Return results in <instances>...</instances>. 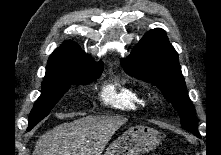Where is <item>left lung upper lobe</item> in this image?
Instances as JSON below:
<instances>
[{
	"label": "left lung upper lobe",
	"mask_w": 221,
	"mask_h": 155,
	"mask_svg": "<svg viewBox=\"0 0 221 155\" xmlns=\"http://www.w3.org/2000/svg\"><path fill=\"white\" fill-rule=\"evenodd\" d=\"M122 65L130 76L156 85L178 111L181 125L194 135L199 134L195 108L188 97L178 54L164 30L148 31Z\"/></svg>",
	"instance_id": "5c2ea615"
}]
</instances>
